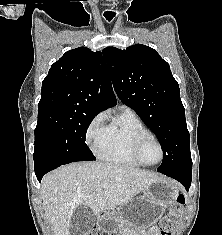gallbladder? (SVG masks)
<instances>
[{
    "label": "gallbladder",
    "instance_id": "gallbladder-1",
    "mask_svg": "<svg viewBox=\"0 0 222 235\" xmlns=\"http://www.w3.org/2000/svg\"><path fill=\"white\" fill-rule=\"evenodd\" d=\"M92 210L86 205L77 207L71 217L70 235H87L94 224Z\"/></svg>",
    "mask_w": 222,
    "mask_h": 235
}]
</instances>
